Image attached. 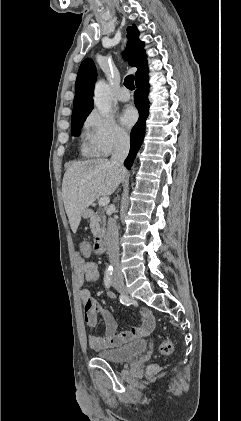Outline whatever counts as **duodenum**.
Returning a JSON list of instances; mask_svg holds the SVG:
<instances>
[{"instance_id": "obj_1", "label": "duodenum", "mask_w": 241, "mask_h": 421, "mask_svg": "<svg viewBox=\"0 0 241 421\" xmlns=\"http://www.w3.org/2000/svg\"><path fill=\"white\" fill-rule=\"evenodd\" d=\"M85 214L87 216H92L93 212L91 210H87L85 212ZM92 247L96 248V251H97L96 254L97 255H102L106 251V239H105L104 235L97 234L94 237Z\"/></svg>"}]
</instances>
